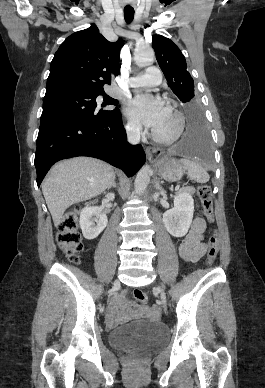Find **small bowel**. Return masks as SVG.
<instances>
[{
    "mask_svg": "<svg viewBox=\"0 0 265 388\" xmlns=\"http://www.w3.org/2000/svg\"><path fill=\"white\" fill-rule=\"evenodd\" d=\"M205 231V220L200 217L194 219L189 233L179 245V254L182 259L188 262H196L205 254L207 250V246L203 242ZM125 302L126 299L123 294L112 302L110 311L107 315L108 324L110 326L115 325L122 319L120 308Z\"/></svg>",
    "mask_w": 265,
    "mask_h": 388,
    "instance_id": "c3829d8e",
    "label": "small bowel"
}]
</instances>
